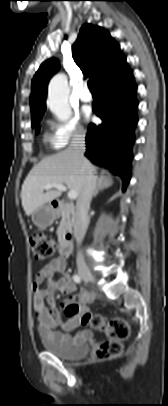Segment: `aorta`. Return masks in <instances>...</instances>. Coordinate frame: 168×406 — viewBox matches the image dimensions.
<instances>
[{
  "instance_id": "obj_1",
  "label": "aorta",
  "mask_w": 168,
  "mask_h": 406,
  "mask_svg": "<svg viewBox=\"0 0 168 406\" xmlns=\"http://www.w3.org/2000/svg\"><path fill=\"white\" fill-rule=\"evenodd\" d=\"M69 86L65 74L55 75L48 86L47 106L59 121H67L71 117L68 103Z\"/></svg>"
}]
</instances>
